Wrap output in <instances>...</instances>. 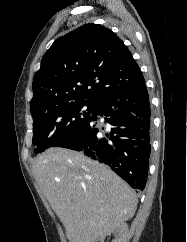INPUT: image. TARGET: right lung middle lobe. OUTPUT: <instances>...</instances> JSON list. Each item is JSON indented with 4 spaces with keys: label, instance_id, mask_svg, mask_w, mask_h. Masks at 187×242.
<instances>
[{
    "label": "right lung middle lobe",
    "instance_id": "right-lung-middle-lobe-1",
    "mask_svg": "<svg viewBox=\"0 0 187 242\" xmlns=\"http://www.w3.org/2000/svg\"><path fill=\"white\" fill-rule=\"evenodd\" d=\"M87 110L84 111L83 107ZM95 104L87 102H72L55 107L33 118V144L35 153H42L52 147L57 141L70 135L90 114L94 112Z\"/></svg>",
    "mask_w": 187,
    "mask_h": 242
}]
</instances>
